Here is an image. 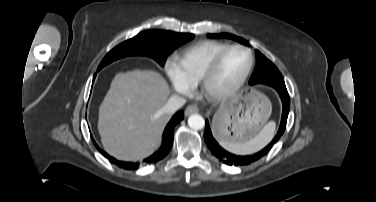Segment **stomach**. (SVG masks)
I'll return each mask as SVG.
<instances>
[{"instance_id":"stomach-1","label":"stomach","mask_w":376,"mask_h":202,"mask_svg":"<svg viewBox=\"0 0 376 202\" xmlns=\"http://www.w3.org/2000/svg\"><path fill=\"white\" fill-rule=\"evenodd\" d=\"M270 114L271 104L265 95L259 92L237 95L214 116L215 136L224 142H246L261 130Z\"/></svg>"}]
</instances>
